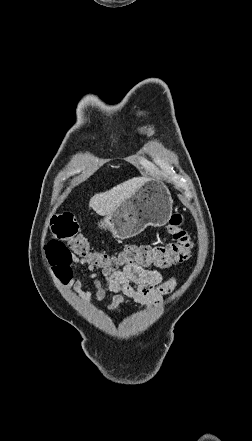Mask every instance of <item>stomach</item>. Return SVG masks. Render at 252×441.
Segmentation results:
<instances>
[{
    "mask_svg": "<svg viewBox=\"0 0 252 441\" xmlns=\"http://www.w3.org/2000/svg\"><path fill=\"white\" fill-rule=\"evenodd\" d=\"M173 200L169 188L159 180H148L99 223L117 239H128L146 227H161L172 215Z\"/></svg>",
    "mask_w": 252,
    "mask_h": 441,
    "instance_id": "1",
    "label": "stomach"
}]
</instances>
